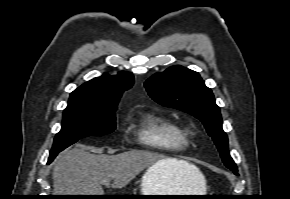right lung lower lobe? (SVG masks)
I'll list each match as a JSON object with an SVG mask.
<instances>
[{"instance_id":"98d812e1","label":"right lung lower lobe","mask_w":290,"mask_h":199,"mask_svg":"<svg viewBox=\"0 0 290 199\" xmlns=\"http://www.w3.org/2000/svg\"><path fill=\"white\" fill-rule=\"evenodd\" d=\"M55 157H50L48 163L52 162Z\"/></svg>"}]
</instances>
